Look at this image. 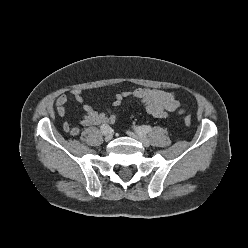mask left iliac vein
<instances>
[{"label":"left iliac vein","instance_id":"obj_1","mask_svg":"<svg viewBox=\"0 0 248 248\" xmlns=\"http://www.w3.org/2000/svg\"><path fill=\"white\" fill-rule=\"evenodd\" d=\"M129 135L137 140H139L143 146L148 147L150 145L149 139L142 133L139 132H129Z\"/></svg>","mask_w":248,"mask_h":248}]
</instances>
